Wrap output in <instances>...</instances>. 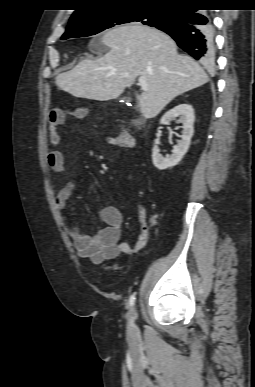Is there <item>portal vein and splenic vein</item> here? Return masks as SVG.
Segmentation results:
<instances>
[{"label":"portal vein and splenic vein","mask_w":255,"mask_h":387,"mask_svg":"<svg viewBox=\"0 0 255 387\" xmlns=\"http://www.w3.org/2000/svg\"><path fill=\"white\" fill-rule=\"evenodd\" d=\"M139 85L142 87L143 90H147L148 88L144 77H139Z\"/></svg>","instance_id":"1"}]
</instances>
